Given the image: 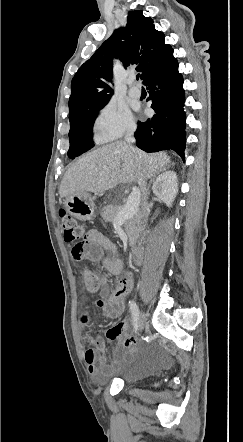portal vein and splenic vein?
Wrapping results in <instances>:
<instances>
[{
  "mask_svg": "<svg viewBox=\"0 0 243 442\" xmlns=\"http://www.w3.org/2000/svg\"><path fill=\"white\" fill-rule=\"evenodd\" d=\"M137 208H138V191L136 188H133V191L129 196L126 205L117 214L114 221L118 222L131 218L136 213Z\"/></svg>",
  "mask_w": 243,
  "mask_h": 442,
  "instance_id": "1",
  "label": "portal vein and splenic vein"
}]
</instances>
